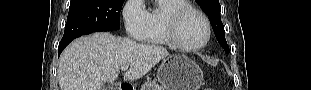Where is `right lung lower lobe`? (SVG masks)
<instances>
[{"label":"right lung lower lobe","instance_id":"right-lung-lower-lobe-1","mask_svg":"<svg viewBox=\"0 0 311 90\" xmlns=\"http://www.w3.org/2000/svg\"><path fill=\"white\" fill-rule=\"evenodd\" d=\"M70 42H71V41H70ZM70 42L60 43V44H59V47H58V55H60V53L63 51V49H64Z\"/></svg>","mask_w":311,"mask_h":90}]
</instances>
